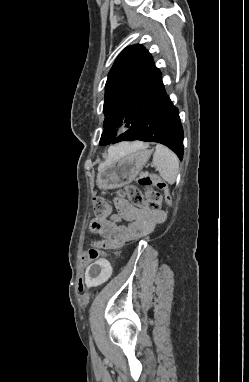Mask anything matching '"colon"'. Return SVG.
<instances>
[{"label": "colon", "mask_w": 249, "mask_h": 382, "mask_svg": "<svg viewBox=\"0 0 249 382\" xmlns=\"http://www.w3.org/2000/svg\"><path fill=\"white\" fill-rule=\"evenodd\" d=\"M140 183L146 187L145 194L143 195L141 191L134 185L126 186L123 189L118 190V195L126 197L130 204L135 207L144 208L150 211L158 210L162 204V194L154 188L163 189L165 183L161 180H153L150 176H144L140 179ZM93 210L96 216L104 217L109 213V205L101 197H95L93 199ZM104 253L97 248H90L84 255L83 260L95 261ZM80 290L82 287L80 285Z\"/></svg>", "instance_id": "5ec220e1"}]
</instances>
